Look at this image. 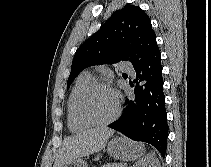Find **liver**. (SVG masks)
<instances>
[{
    "label": "liver",
    "mask_w": 211,
    "mask_h": 167,
    "mask_svg": "<svg viewBox=\"0 0 211 167\" xmlns=\"http://www.w3.org/2000/svg\"><path fill=\"white\" fill-rule=\"evenodd\" d=\"M113 133L114 130L110 128L98 127L66 138L58 150L53 167H63L77 158L99 152Z\"/></svg>",
    "instance_id": "1"
}]
</instances>
